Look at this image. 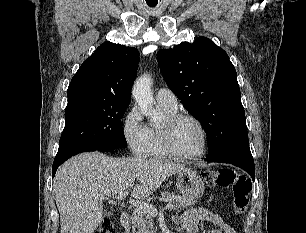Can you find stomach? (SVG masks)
Masks as SVG:
<instances>
[{"instance_id": "obj_1", "label": "stomach", "mask_w": 306, "mask_h": 233, "mask_svg": "<svg viewBox=\"0 0 306 233\" xmlns=\"http://www.w3.org/2000/svg\"><path fill=\"white\" fill-rule=\"evenodd\" d=\"M177 189L183 197L197 199L204 193V183L200 175L191 169L179 172Z\"/></svg>"}]
</instances>
